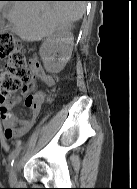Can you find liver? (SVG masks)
Here are the masks:
<instances>
[{
  "instance_id": "6515ba94",
  "label": "liver",
  "mask_w": 137,
  "mask_h": 189,
  "mask_svg": "<svg viewBox=\"0 0 137 189\" xmlns=\"http://www.w3.org/2000/svg\"><path fill=\"white\" fill-rule=\"evenodd\" d=\"M6 2H0V11ZM6 14L12 32L25 41H39L83 17L84 1H13Z\"/></svg>"
}]
</instances>
